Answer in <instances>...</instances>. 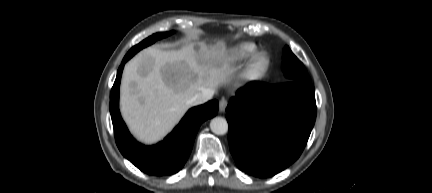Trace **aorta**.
<instances>
[{
    "label": "aorta",
    "instance_id": "aorta-1",
    "mask_svg": "<svg viewBox=\"0 0 432 193\" xmlns=\"http://www.w3.org/2000/svg\"><path fill=\"white\" fill-rule=\"evenodd\" d=\"M210 129L214 134L224 135L228 131L227 120L223 117H215L210 122Z\"/></svg>",
    "mask_w": 432,
    "mask_h": 193
}]
</instances>
